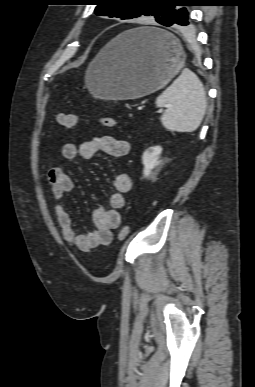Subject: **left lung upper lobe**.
Here are the masks:
<instances>
[{"label":"left lung upper lobe","mask_w":255,"mask_h":387,"mask_svg":"<svg viewBox=\"0 0 255 387\" xmlns=\"http://www.w3.org/2000/svg\"><path fill=\"white\" fill-rule=\"evenodd\" d=\"M98 16L132 19L142 15L154 16L160 24L167 23L176 13L175 6L185 0H93Z\"/></svg>","instance_id":"obj_1"}]
</instances>
